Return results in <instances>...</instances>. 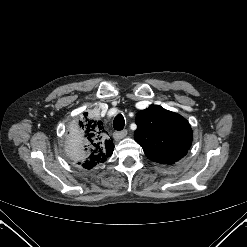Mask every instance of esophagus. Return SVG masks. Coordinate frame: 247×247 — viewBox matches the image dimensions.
<instances>
[{"mask_svg":"<svg viewBox=\"0 0 247 247\" xmlns=\"http://www.w3.org/2000/svg\"><path fill=\"white\" fill-rule=\"evenodd\" d=\"M126 136H127V130H122V131L115 132V137L117 139H122V138H125Z\"/></svg>","mask_w":247,"mask_h":247,"instance_id":"esophagus-1","label":"esophagus"}]
</instances>
